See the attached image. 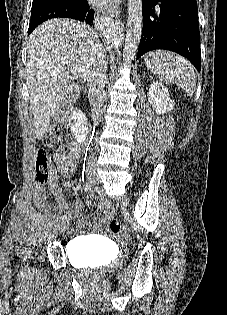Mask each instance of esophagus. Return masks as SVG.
I'll return each instance as SVG.
<instances>
[{"mask_svg": "<svg viewBox=\"0 0 227 315\" xmlns=\"http://www.w3.org/2000/svg\"><path fill=\"white\" fill-rule=\"evenodd\" d=\"M110 16L113 20H115V22H120V19H119V15L115 12H110Z\"/></svg>", "mask_w": 227, "mask_h": 315, "instance_id": "34e87169", "label": "esophagus"}]
</instances>
